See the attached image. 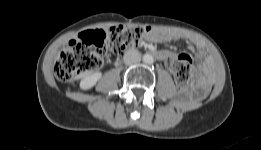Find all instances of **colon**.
Returning a JSON list of instances; mask_svg holds the SVG:
<instances>
[{"instance_id": "1", "label": "colon", "mask_w": 261, "mask_h": 150, "mask_svg": "<svg viewBox=\"0 0 261 150\" xmlns=\"http://www.w3.org/2000/svg\"><path fill=\"white\" fill-rule=\"evenodd\" d=\"M149 31L141 26H114L108 30L83 32L61 50L54 65L55 76L67 82L94 71L101 67L108 50L114 55H122L136 47ZM167 67L179 85L190 83L192 60L188 55L168 59Z\"/></svg>"}]
</instances>
